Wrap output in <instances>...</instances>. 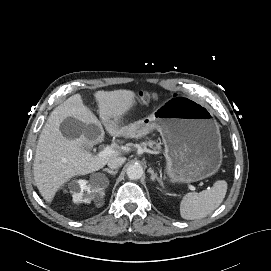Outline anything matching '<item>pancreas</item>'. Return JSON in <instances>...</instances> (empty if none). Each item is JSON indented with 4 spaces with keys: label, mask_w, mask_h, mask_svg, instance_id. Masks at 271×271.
I'll list each match as a JSON object with an SVG mask.
<instances>
[{
    "label": "pancreas",
    "mask_w": 271,
    "mask_h": 271,
    "mask_svg": "<svg viewBox=\"0 0 271 271\" xmlns=\"http://www.w3.org/2000/svg\"><path fill=\"white\" fill-rule=\"evenodd\" d=\"M141 145H142L143 147L149 146V147L153 148L155 153H157V150L160 149V145H159V144H156V143L153 142V141L143 142Z\"/></svg>",
    "instance_id": "pancreas-1"
}]
</instances>
